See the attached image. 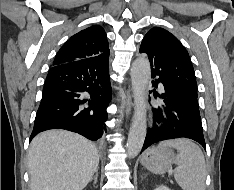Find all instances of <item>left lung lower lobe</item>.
<instances>
[{"mask_svg": "<svg viewBox=\"0 0 234 190\" xmlns=\"http://www.w3.org/2000/svg\"><path fill=\"white\" fill-rule=\"evenodd\" d=\"M140 53L146 52L140 50ZM147 55L151 64V75L159 77L152 82L153 86L157 87L159 82L164 86L161 94L152 91L155 97L158 96L163 101L160 106L153 108L154 120L158 123L162 121L163 125L158 127L154 123L153 128L148 130L142 151L156 142L181 137L195 140L206 149L199 106L170 84L166 64L159 57Z\"/></svg>", "mask_w": 234, "mask_h": 190, "instance_id": "obj_1", "label": "left lung lower lobe"}]
</instances>
